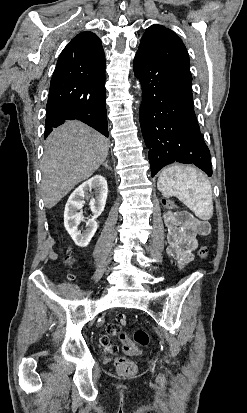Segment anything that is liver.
Returning <instances> with one entry per match:
<instances>
[{"instance_id": "obj_1", "label": "liver", "mask_w": 247, "mask_h": 413, "mask_svg": "<svg viewBox=\"0 0 247 413\" xmlns=\"http://www.w3.org/2000/svg\"><path fill=\"white\" fill-rule=\"evenodd\" d=\"M109 138L79 120H66L47 136L41 160L42 194L46 209L89 178L104 162Z\"/></svg>"}]
</instances>
